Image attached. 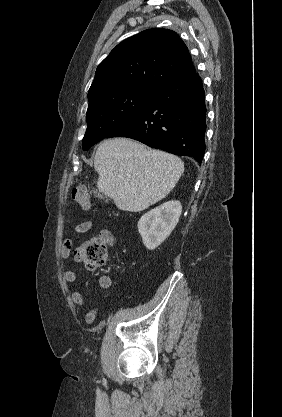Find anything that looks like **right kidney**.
<instances>
[{
    "mask_svg": "<svg viewBox=\"0 0 282 417\" xmlns=\"http://www.w3.org/2000/svg\"><path fill=\"white\" fill-rule=\"evenodd\" d=\"M181 213L180 200H168V202L156 206V209L142 215L138 221V231L146 249L153 251L171 235Z\"/></svg>",
    "mask_w": 282,
    "mask_h": 417,
    "instance_id": "ca27d5eb",
    "label": "right kidney"
}]
</instances>
